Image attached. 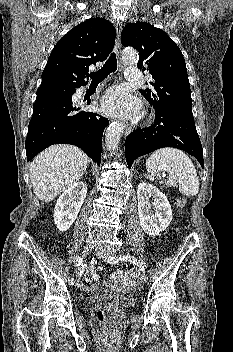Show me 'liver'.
<instances>
[{
	"label": "liver",
	"mask_w": 233,
	"mask_h": 352,
	"mask_svg": "<svg viewBox=\"0 0 233 352\" xmlns=\"http://www.w3.org/2000/svg\"><path fill=\"white\" fill-rule=\"evenodd\" d=\"M88 161V156L73 145H53L45 149L29 167L35 195L45 203L52 201L81 179Z\"/></svg>",
	"instance_id": "liver-1"
}]
</instances>
